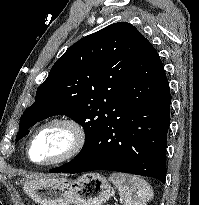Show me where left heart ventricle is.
<instances>
[{"instance_id": "b2bd125f", "label": "left heart ventricle", "mask_w": 199, "mask_h": 205, "mask_svg": "<svg viewBox=\"0 0 199 205\" xmlns=\"http://www.w3.org/2000/svg\"><path fill=\"white\" fill-rule=\"evenodd\" d=\"M69 142L70 134L65 128L51 127L36 138L32 148V158L38 162L52 160L66 150Z\"/></svg>"}]
</instances>
